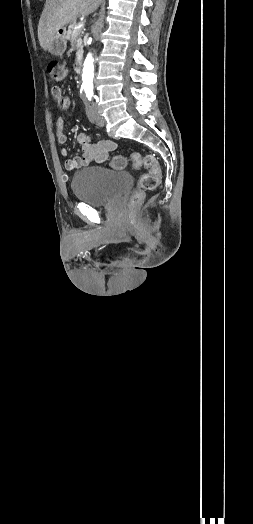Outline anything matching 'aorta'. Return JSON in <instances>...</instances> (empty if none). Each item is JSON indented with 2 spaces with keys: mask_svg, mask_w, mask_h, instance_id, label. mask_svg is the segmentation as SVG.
<instances>
[{
  "mask_svg": "<svg viewBox=\"0 0 253 524\" xmlns=\"http://www.w3.org/2000/svg\"><path fill=\"white\" fill-rule=\"evenodd\" d=\"M94 59L89 53L84 61L82 73V88L90 99L93 96Z\"/></svg>",
  "mask_w": 253,
  "mask_h": 524,
  "instance_id": "aorta-1",
  "label": "aorta"
}]
</instances>
